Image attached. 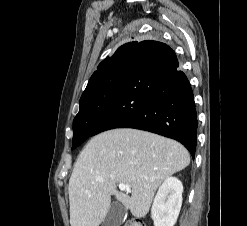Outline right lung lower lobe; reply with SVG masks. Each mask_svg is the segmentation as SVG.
Returning <instances> with one entry per match:
<instances>
[{
  "mask_svg": "<svg viewBox=\"0 0 247 226\" xmlns=\"http://www.w3.org/2000/svg\"><path fill=\"white\" fill-rule=\"evenodd\" d=\"M197 113L191 85L175 52L145 40L132 51L115 97L91 136L114 128H136L182 143L194 158Z\"/></svg>",
  "mask_w": 247,
  "mask_h": 226,
  "instance_id": "1",
  "label": "right lung lower lobe"
}]
</instances>
